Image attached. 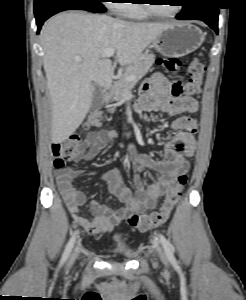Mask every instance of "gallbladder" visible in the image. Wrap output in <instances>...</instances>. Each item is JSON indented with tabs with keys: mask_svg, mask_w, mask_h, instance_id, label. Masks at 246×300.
I'll return each mask as SVG.
<instances>
[{
	"mask_svg": "<svg viewBox=\"0 0 246 300\" xmlns=\"http://www.w3.org/2000/svg\"><path fill=\"white\" fill-rule=\"evenodd\" d=\"M102 103H103V94H102L101 87L98 84L93 83V97H92L90 110L91 111L99 110L102 106Z\"/></svg>",
	"mask_w": 246,
	"mask_h": 300,
	"instance_id": "obj_1",
	"label": "gallbladder"
}]
</instances>
